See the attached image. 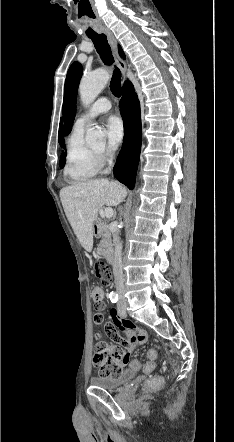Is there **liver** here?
Returning <instances> with one entry per match:
<instances>
[{"label":"liver","mask_w":234,"mask_h":442,"mask_svg":"<svg viewBox=\"0 0 234 442\" xmlns=\"http://www.w3.org/2000/svg\"><path fill=\"white\" fill-rule=\"evenodd\" d=\"M127 195L126 189L117 182L96 179L76 183L60 191V199L82 247L91 252L93 248V229L98 211L104 206H117Z\"/></svg>","instance_id":"6515ba94"}]
</instances>
